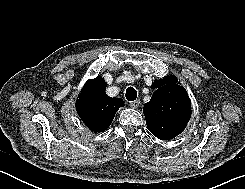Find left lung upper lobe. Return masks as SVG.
Here are the masks:
<instances>
[{"label": "left lung upper lobe", "mask_w": 245, "mask_h": 189, "mask_svg": "<svg viewBox=\"0 0 245 189\" xmlns=\"http://www.w3.org/2000/svg\"><path fill=\"white\" fill-rule=\"evenodd\" d=\"M150 101L145 103L143 113L149 131L161 140L179 135L191 117V103L183 86L174 76L156 80Z\"/></svg>", "instance_id": "5c2ea615"}]
</instances>
